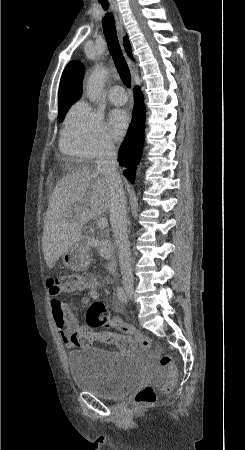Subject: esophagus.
Masks as SVG:
<instances>
[{
	"label": "esophagus",
	"mask_w": 245,
	"mask_h": 450,
	"mask_svg": "<svg viewBox=\"0 0 245 450\" xmlns=\"http://www.w3.org/2000/svg\"><path fill=\"white\" fill-rule=\"evenodd\" d=\"M113 12H114V17H115V21H116V27H117V32L119 37L122 39L123 35H124V26H123V20L121 17V14L119 12V8L118 5L116 3H112L111 4ZM126 57H127V61H128V65L129 68L131 70V73L134 74L135 73V65L134 63L129 59V57L127 56V54L125 53Z\"/></svg>",
	"instance_id": "34e87169"
}]
</instances>
